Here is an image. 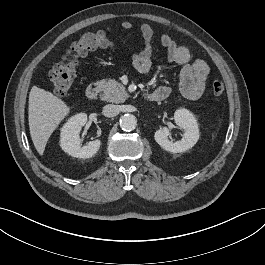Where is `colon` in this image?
<instances>
[{"label":"colon","mask_w":265,"mask_h":265,"mask_svg":"<svg viewBox=\"0 0 265 265\" xmlns=\"http://www.w3.org/2000/svg\"><path fill=\"white\" fill-rule=\"evenodd\" d=\"M111 41L103 31L86 33L78 41L71 44L61 60L49 72V80L54 92L59 96H66L77 75L78 59L88 51L100 47H108ZM213 96L220 100L224 94V85L220 80L212 83Z\"/></svg>","instance_id":"5ec220e1"}]
</instances>
